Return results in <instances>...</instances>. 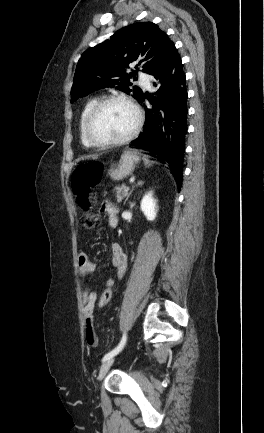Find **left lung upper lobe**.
<instances>
[{"mask_svg":"<svg viewBox=\"0 0 264 433\" xmlns=\"http://www.w3.org/2000/svg\"><path fill=\"white\" fill-rule=\"evenodd\" d=\"M175 49L168 35L152 22H137L118 30L83 53L74 75L71 102L105 87L132 94L139 101L142 90L131 88L138 67L151 75ZM129 64H135L136 70L127 73Z\"/></svg>","mask_w":264,"mask_h":433,"instance_id":"1","label":"left lung upper lobe"}]
</instances>
